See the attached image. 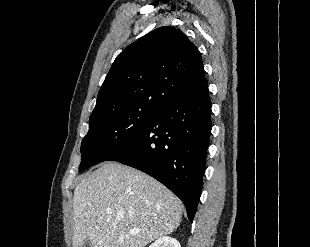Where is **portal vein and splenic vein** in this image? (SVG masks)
Instances as JSON below:
<instances>
[{"label":"portal vein and splenic vein","instance_id":"portal-vein-and-splenic-vein-1","mask_svg":"<svg viewBox=\"0 0 310 247\" xmlns=\"http://www.w3.org/2000/svg\"><path fill=\"white\" fill-rule=\"evenodd\" d=\"M107 213H108V214H111V210H107ZM129 233L132 234V235H136V234L139 233V231H138V230H130Z\"/></svg>","mask_w":310,"mask_h":247}]
</instances>
